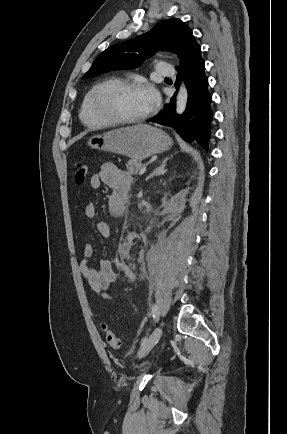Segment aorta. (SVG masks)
Masks as SVG:
<instances>
[{"mask_svg":"<svg viewBox=\"0 0 287 434\" xmlns=\"http://www.w3.org/2000/svg\"><path fill=\"white\" fill-rule=\"evenodd\" d=\"M188 99L187 88L184 83L180 85L177 98H176V112L182 114L186 109Z\"/></svg>","mask_w":287,"mask_h":434,"instance_id":"obj_1","label":"aorta"}]
</instances>
